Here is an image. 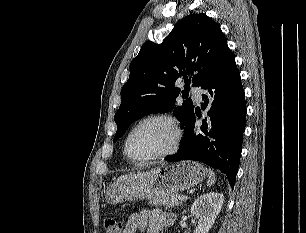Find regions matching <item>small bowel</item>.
<instances>
[{
  "label": "small bowel",
  "mask_w": 306,
  "mask_h": 233,
  "mask_svg": "<svg viewBox=\"0 0 306 233\" xmlns=\"http://www.w3.org/2000/svg\"><path fill=\"white\" fill-rule=\"evenodd\" d=\"M176 216L160 209H143L129 216L124 233H159L163 227L174 224Z\"/></svg>",
  "instance_id": "c3829d8e"
}]
</instances>
